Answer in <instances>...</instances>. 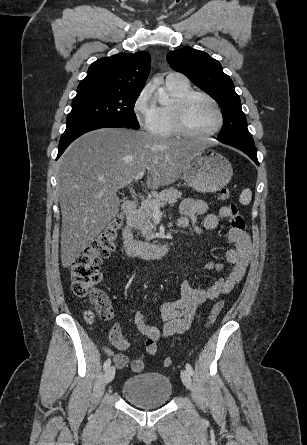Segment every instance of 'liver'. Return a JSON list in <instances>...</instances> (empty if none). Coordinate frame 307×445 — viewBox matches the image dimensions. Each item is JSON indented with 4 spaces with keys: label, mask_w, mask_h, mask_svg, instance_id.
I'll use <instances>...</instances> for the list:
<instances>
[{
    "label": "liver",
    "mask_w": 307,
    "mask_h": 445,
    "mask_svg": "<svg viewBox=\"0 0 307 445\" xmlns=\"http://www.w3.org/2000/svg\"><path fill=\"white\" fill-rule=\"evenodd\" d=\"M198 148L195 140L128 128H98L74 140L58 170L62 267L79 259L118 214L119 188L141 170H148L149 188L172 184Z\"/></svg>",
    "instance_id": "liver-1"
}]
</instances>
